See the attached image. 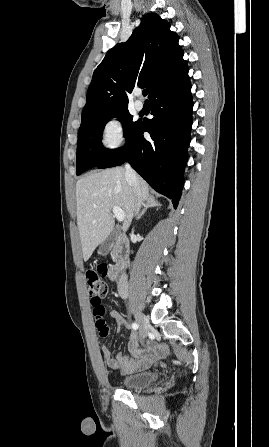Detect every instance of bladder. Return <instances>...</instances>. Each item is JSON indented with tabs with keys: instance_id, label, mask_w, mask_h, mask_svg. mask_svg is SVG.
<instances>
[{
	"instance_id": "1",
	"label": "bladder",
	"mask_w": 269,
	"mask_h": 447,
	"mask_svg": "<svg viewBox=\"0 0 269 447\" xmlns=\"http://www.w3.org/2000/svg\"><path fill=\"white\" fill-rule=\"evenodd\" d=\"M161 379V374L155 370H147L128 374L121 378V385L125 391H136L141 387H149Z\"/></svg>"
}]
</instances>
